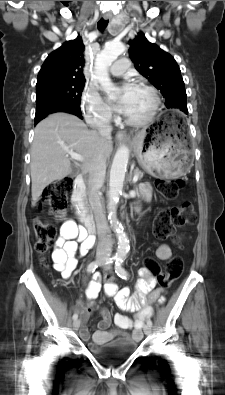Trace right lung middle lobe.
Returning <instances> with one entry per match:
<instances>
[{
  "label": "right lung middle lobe",
  "instance_id": "dd1d6c3e",
  "mask_svg": "<svg viewBox=\"0 0 225 395\" xmlns=\"http://www.w3.org/2000/svg\"><path fill=\"white\" fill-rule=\"evenodd\" d=\"M85 80L53 81L36 85V114L40 117L64 105L80 106Z\"/></svg>",
  "mask_w": 225,
  "mask_h": 395
}]
</instances>
